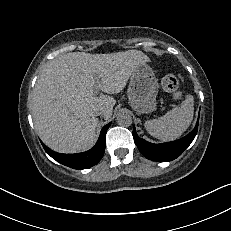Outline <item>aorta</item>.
<instances>
[{"instance_id": "obj_1", "label": "aorta", "mask_w": 231, "mask_h": 231, "mask_svg": "<svg viewBox=\"0 0 231 231\" xmlns=\"http://www.w3.org/2000/svg\"><path fill=\"white\" fill-rule=\"evenodd\" d=\"M116 122L119 126L129 127L132 124V117L127 113H119Z\"/></svg>"}]
</instances>
